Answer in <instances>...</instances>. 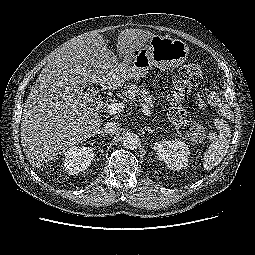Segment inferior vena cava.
<instances>
[{
	"label": "inferior vena cava",
	"mask_w": 255,
	"mask_h": 255,
	"mask_svg": "<svg viewBox=\"0 0 255 255\" xmlns=\"http://www.w3.org/2000/svg\"><path fill=\"white\" fill-rule=\"evenodd\" d=\"M120 129V124L117 123V122H107L105 125H104V132L106 134H110V135H113V134H116L118 132V130Z\"/></svg>",
	"instance_id": "inferior-vena-cava-1"
}]
</instances>
